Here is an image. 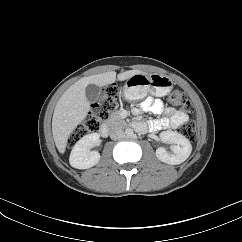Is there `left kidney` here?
<instances>
[{
  "label": "left kidney",
  "instance_id": "obj_1",
  "mask_svg": "<svg viewBox=\"0 0 242 242\" xmlns=\"http://www.w3.org/2000/svg\"><path fill=\"white\" fill-rule=\"evenodd\" d=\"M160 139L164 143L172 144L168 152L160 147L156 150L157 158L167 164L177 165L184 162L191 154L192 146L190 141L176 131H164L160 134Z\"/></svg>",
  "mask_w": 242,
  "mask_h": 242
}]
</instances>
